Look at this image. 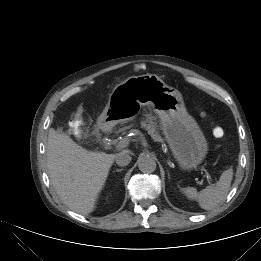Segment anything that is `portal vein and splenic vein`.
I'll return each instance as SVG.
<instances>
[{"instance_id": "1", "label": "portal vein and splenic vein", "mask_w": 261, "mask_h": 261, "mask_svg": "<svg viewBox=\"0 0 261 261\" xmlns=\"http://www.w3.org/2000/svg\"><path fill=\"white\" fill-rule=\"evenodd\" d=\"M129 142H130V139H129V138H124L122 141H120V142L116 145V149L119 150V149H122V148L126 147V146L129 144ZM205 177H206L207 181H208L210 184H212V185L215 184L214 179L211 177V175H210L207 171H205Z\"/></svg>"}]
</instances>
